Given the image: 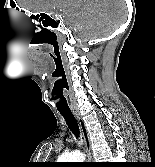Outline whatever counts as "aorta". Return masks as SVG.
Returning <instances> with one entry per match:
<instances>
[{
	"instance_id": "aorta-1",
	"label": "aorta",
	"mask_w": 155,
	"mask_h": 167,
	"mask_svg": "<svg viewBox=\"0 0 155 167\" xmlns=\"http://www.w3.org/2000/svg\"><path fill=\"white\" fill-rule=\"evenodd\" d=\"M85 159L84 154L80 151H75L67 154H63L58 158L59 162H83Z\"/></svg>"
}]
</instances>
